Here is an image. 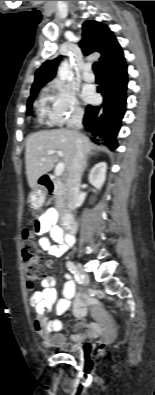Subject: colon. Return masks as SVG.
I'll return each mask as SVG.
<instances>
[{
  "mask_svg": "<svg viewBox=\"0 0 155 395\" xmlns=\"http://www.w3.org/2000/svg\"><path fill=\"white\" fill-rule=\"evenodd\" d=\"M22 256L24 260V275L27 287L33 289L44 274L42 266L43 254L39 244L34 240L31 230L24 231L22 244Z\"/></svg>",
  "mask_w": 155,
  "mask_h": 395,
  "instance_id": "obj_1",
  "label": "colon"
}]
</instances>
